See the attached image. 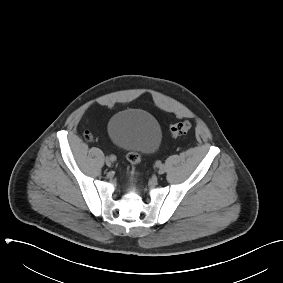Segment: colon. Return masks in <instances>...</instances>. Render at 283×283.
Returning <instances> with one entry per match:
<instances>
[{"mask_svg": "<svg viewBox=\"0 0 283 283\" xmlns=\"http://www.w3.org/2000/svg\"><path fill=\"white\" fill-rule=\"evenodd\" d=\"M192 128V125L189 121H180L172 124L169 127V132L172 136H179L188 133ZM128 161L136 166L140 163V154L136 152H129L127 154Z\"/></svg>", "mask_w": 283, "mask_h": 283, "instance_id": "5ec220e1", "label": "colon"}]
</instances>
